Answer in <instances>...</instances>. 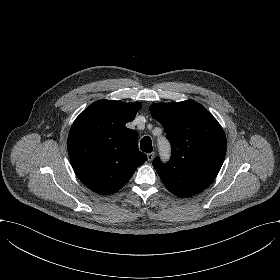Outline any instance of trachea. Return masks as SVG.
<instances>
[{"label":"trachea","instance_id":"3493384b","mask_svg":"<svg viewBox=\"0 0 280 280\" xmlns=\"http://www.w3.org/2000/svg\"><path fill=\"white\" fill-rule=\"evenodd\" d=\"M140 147L143 152H152V141L149 136H145L141 139Z\"/></svg>","mask_w":280,"mask_h":280}]
</instances>
